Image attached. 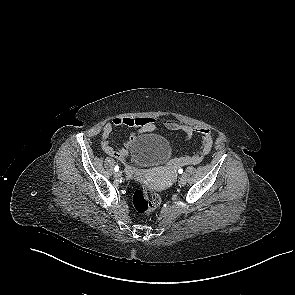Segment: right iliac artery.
Listing matches in <instances>:
<instances>
[{"instance_id": "right-iliac-artery-1", "label": "right iliac artery", "mask_w": 295, "mask_h": 295, "mask_svg": "<svg viewBox=\"0 0 295 295\" xmlns=\"http://www.w3.org/2000/svg\"><path fill=\"white\" fill-rule=\"evenodd\" d=\"M115 172L119 171V166L116 165L115 168H114Z\"/></svg>"}]
</instances>
